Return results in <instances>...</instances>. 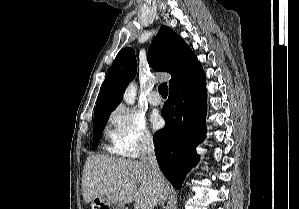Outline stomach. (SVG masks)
<instances>
[{
  "label": "stomach",
  "instance_id": "stomach-1",
  "mask_svg": "<svg viewBox=\"0 0 299 209\" xmlns=\"http://www.w3.org/2000/svg\"><path fill=\"white\" fill-rule=\"evenodd\" d=\"M123 209V206L108 201L101 197H95L91 201V209Z\"/></svg>",
  "mask_w": 299,
  "mask_h": 209
}]
</instances>
